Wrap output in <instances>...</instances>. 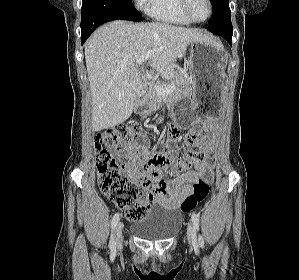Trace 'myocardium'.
<instances>
[{"instance_id": "f54148a6", "label": "myocardium", "mask_w": 299, "mask_h": 280, "mask_svg": "<svg viewBox=\"0 0 299 280\" xmlns=\"http://www.w3.org/2000/svg\"><path fill=\"white\" fill-rule=\"evenodd\" d=\"M208 4V15L204 20H197L193 17V15L190 12L189 4L190 0H179V6L182 11V13L192 22V23H204L207 20L210 19L213 11V6L211 0H206Z\"/></svg>"}]
</instances>
